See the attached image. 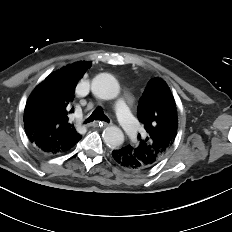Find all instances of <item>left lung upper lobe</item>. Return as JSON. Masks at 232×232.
<instances>
[{"label": "left lung upper lobe", "instance_id": "5c2ea615", "mask_svg": "<svg viewBox=\"0 0 232 232\" xmlns=\"http://www.w3.org/2000/svg\"><path fill=\"white\" fill-rule=\"evenodd\" d=\"M138 119L144 133L139 143L131 146L134 155L149 169L160 162L172 146L178 129V114L174 97L161 78H153L140 98Z\"/></svg>", "mask_w": 232, "mask_h": 232}]
</instances>
